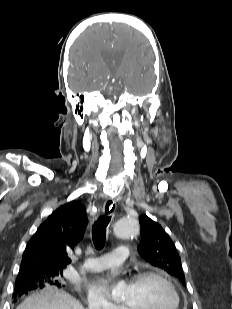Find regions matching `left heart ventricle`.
I'll return each instance as SVG.
<instances>
[{"instance_id": "b2bd125f", "label": "left heart ventricle", "mask_w": 232, "mask_h": 309, "mask_svg": "<svg viewBox=\"0 0 232 309\" xmlns=\"http://www.w3.org/2000/svg\"><path fill=\"white\" fill-rule=\"evenodd\" d=\"M121 300L130 309H171L174 303L167 285L156 278L128 284Z\"/></svg>"}]
</instances>
